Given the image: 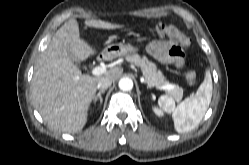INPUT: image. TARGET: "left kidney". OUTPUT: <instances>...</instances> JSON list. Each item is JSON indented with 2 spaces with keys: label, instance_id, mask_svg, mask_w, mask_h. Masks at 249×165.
Wrapping results in <instances>:
<instances>
[{
  "label": "left kidney",
  "instance_id": "5707ae66",
  "mask_svg": "<svg viewBox=\"0 0 249 165\" xmlns=\"http://www.w3.org/2000/svg\"><path fill=\"white\" fill-rule=\"evenodd\" d=\"M153 112L157 115V116H163V112L158 109L157 107H153Z\"/></svg>",
  "mask_w": 249,
  "mask_h": 165
}]
</instances>
